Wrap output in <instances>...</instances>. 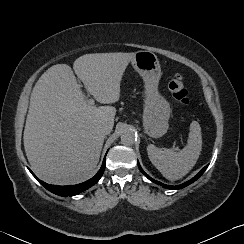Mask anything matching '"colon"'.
I'll return each instance as SVG.
<instances>
[{"instance_id": "obj_1", "label": "colon", "mask_w": 244, "mask_h": 244, "mask_svg": "<svg viewBox=\"0 0 244 244\" xmlns=\"http://www.w3.org/2000/svg\"><path fill=\"white\" fill-rule=\"evenodd\" d=\"M169 91L172 97L182 105L190 104L189 92L185 85V80L182 75H176L169 82Z\"/></svg>"}]
</instances>
